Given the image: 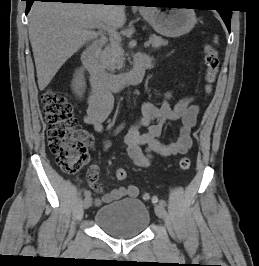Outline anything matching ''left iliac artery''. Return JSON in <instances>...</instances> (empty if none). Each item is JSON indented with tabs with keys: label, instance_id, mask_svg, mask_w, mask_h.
Returning <instances> with one entry per match:
<instances>
[{
	"label": "left iliac artery",
	"instance_id": "obj_1",
	"mask_svg": "<svg viewBox=\"0 0 259 266\" xmlns=\"http://www.w3.org/2000/svg\"><path fill=\"white\" fill-rule=\"evenodd\" d=\"M159 204L162 205V206H166V201L165 200H160Z\"/></svg>",
	"mask_w": 259,
	"mask_h": 266
}]
</instances>
